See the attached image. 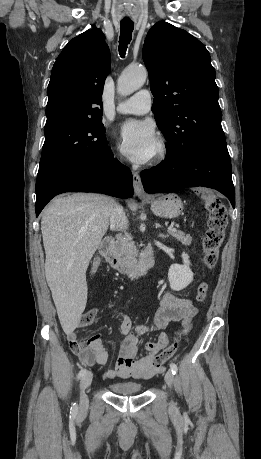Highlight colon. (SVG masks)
Returning <instances> with one entry per match:
<instances>
[{"label": "colon", "instance_id": "1", "mask_svg": "<svg viewBox=\"0 0 261 459\" xmlns=\"http://www.w3.org/2000/svg\"><path fill=\"white\" fill-rule=\"evenodd\" d=\"M201 199L204 201L208 212V229L203 240V260L208 269H213L218 261L220 246L224 240L225 231L228 225V214L225 205L212 191H202ZM209 286L206 282L199 285L196 298L199 302L205 300ZM97 315V310L92 308L87 310L80 319V326L86 327L93 323ZM191 325H186L179 335L166 346L154 359V365L161 367L167 360L172 358L180 345L181 337L189 333Z\"/></svg>", "mask_w": 261, "mask_h": 459}]
</instances>
